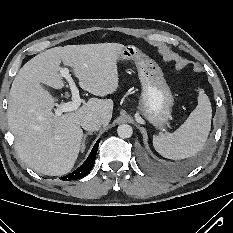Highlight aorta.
Instances as JSON below:
<instances>
[{
    "instance_id": "obj_1",
    "label": "aorta",
    "mask_w": 233,
    "mask_h": 233,
    "mask_svg": "<svg viewBox=\"0 0 233 233\" xmlns=\"http://www.w3.org/2000/svg\"><path fill=\"white\" fill-rule=\"evenodd\" d=\"M132 133H133V129L128 124H121L117 128L118 136L123 138V139L130 138L132 136Z\"/></svg>"
}]
</instances>
